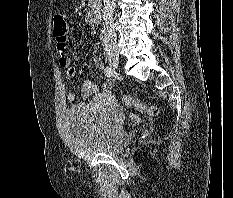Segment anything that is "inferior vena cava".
<instances>
[{"mask_svg": "<svg viewBox=\"0 0 233 198\" xmlns=\"http://www.w3.org/2000/svg\"><path fill=\"white\" fill-rule=\"evenodd\" d=\"M103 29L101 31L102 41H103V48L105 52L109 51H116L117 49V42H116V34L115 29L113 26V18L112 15L107 16L103 15Z\"/></svg>", "mask_w": 233, "mask_h": 198, "instance_id": "1", "label": "inferior vena cava"}]
</instances>
